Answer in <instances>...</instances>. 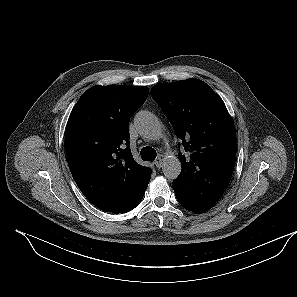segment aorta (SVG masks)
<instances>
[{
    "label": "aorta",
    "instance_id": "1",
    "mask_svg": "<svg viewBox=\"0 0 297 297\" xmlns=\"http://www.w3.org/2000/svg\"><path fill=\"white\" fill-rule=\"evenodd\" d=\"M136 129L144 138L155 140L160 136V123L156 116L149 111H140L134 118ZM162 171L169 180L176 179L181 172V163L174 155L165 156Z\"/></svg>",
    "mask_w": 297,
    "mask_h": 297
}]
</instances>
